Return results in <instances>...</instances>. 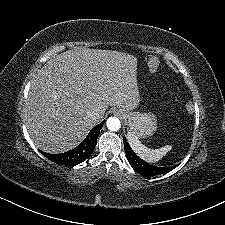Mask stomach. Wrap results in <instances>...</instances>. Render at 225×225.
<instances>
[{
	"mask_svg": "<svg viewBox=\"0 0 225 225\" xmlns=\"http://www.w3.org/2000/svg\"><path fill=\"white\" fill-rule=\"evenodd\" d=\"M117 112L128 126L129 132L138 138L151 136L156 131V117L151 113L132 112L126 109H118Z\"/></svg>",
	"mask_w": 225,
	"mask_h": 225,
	"instance_id": "1",
	"label": "stomach"
}]
</instances>
